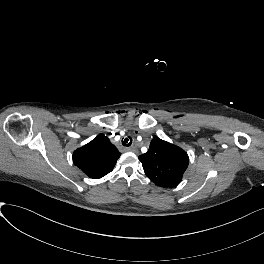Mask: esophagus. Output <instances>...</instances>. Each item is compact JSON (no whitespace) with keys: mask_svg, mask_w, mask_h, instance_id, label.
<instances>
[{"mask_svg":"<svg viewBox=\"0 0 264 264\" xmlns=\"http://www.w3.org/2000/svg\"><path fill=\"white\" fill-rule=\"evenodd\" d=\"M126 150L127 151H131V152H135L136 151V147L135 146L127 147Z\"/></svg>","mask_w":264,"mask_h":264,"instance_id":"esophagus-1","label":"esophagus"}]
</instances>
